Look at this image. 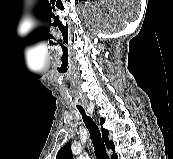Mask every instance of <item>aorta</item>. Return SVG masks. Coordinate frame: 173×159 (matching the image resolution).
<instances>
[{
  "label": "aorta",
  "mask_w": 173,
  "mask_h": 159,
  "mask_svg": "<svg viewBox=\"0 0 173 159\" xmlns=\"http://www.w3.org/2000/svg\"><path fill=\"white\" fill-rule=\"evenodd\" d=\"M78 159H84L83 157H79Z\"/></svg>",
  "instance_id": "aorta-1"
}]
</instances>
